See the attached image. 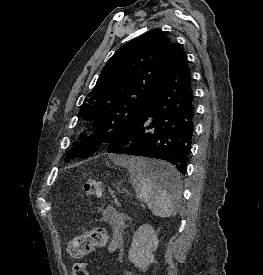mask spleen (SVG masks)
Returning a JSON list of instances; mask_svg holds the SVG:
<instances>
[{
	"label": "spleen",
	"mask_w": 263,
	"mask_h": 275,
	"mask_svg": "<svg viewBox=\"0 0 263 275\" xmlns=\"http://www.w3.org/2000/svg\"><path fill=\"white\" fill-rule=\"evenodd\" d=\"M120 164L128 169L137 198L145 202L155 216L166 218L177 213L181 186L177 184L172 192H168L147 174L150 168H170V164L141 157H130L120 161Z\"/></svg>",
	"instance_id": "obj_1"
}]
</instances>
